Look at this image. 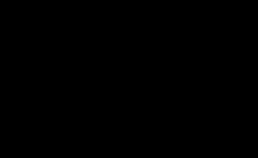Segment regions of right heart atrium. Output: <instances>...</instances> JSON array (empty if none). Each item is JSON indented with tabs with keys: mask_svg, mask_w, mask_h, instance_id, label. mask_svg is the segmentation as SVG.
<instances>
[{
	"mask_svg": "<svg viewBox=\"0 0 258 158\" xmlns=\"http://www.w3.org/2000/svg\"><path fill=\"white\" fill-rule=\"evenodd\" d=\"M106 63L114 75L119 76L128 71V65L117 55L110 53L106 55Z\"/></svg>",
	"mask_w": 258,
	"mask_h": 158,
	"instance_id": "right-heart-atrium-1",
	"label": "right heart atrium"
}]
</instances>
